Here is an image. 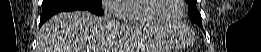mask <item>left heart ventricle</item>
Segmentation results:
<instances>
[{
	"label": "left heart ventricle",
	"mask_w": 261,
	"mask_h": 52,
	"mask_svg": "<svg viewBox=\"0 0 261 52\" xmlns=\"http://www.w3.org/2000/svg\"><path fill=\"white\" fill-rule=\"evenodd\" d=\"M154 3L156 7L150 11V14L154 17L173 20L180 13L178 0H157Z\"/></svg>",
	"instance_id": "left-heart-ventricle-1"
}]
</instances>
